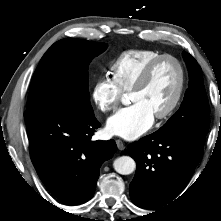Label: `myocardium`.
Instances as JSON below:
<instances>
[{
  "label": "myocardium",
  "instance_id": "obj_1",
  "mask_svg": "<svg viewBox=\"0 0 221 221\" xmlns=\"http://www.w3.org/2000/svg\"><path fill=\"white\" fill-rule=\"evenodd\" d=\"M170 60L174 62L178 68L179 71V82L178 86L175 92V95L169 104V106L161 113L156 114L154 117L157 120H163L170 117L174 111L177 109L178 105L180 104V101L182 99L184 89H185V83H186V73L183 64L181 61L176 58L175 56L169 55V54H163L154 60H152L150 63L147 64V66L143 69L137 80L135 81L134 85L130 89V94L142 89L149 81L153 71L155 68L161 64L162 62Z\"/></svg>",
  "mask_w": 221,
  "mask_h": 221
}]
</instances>
